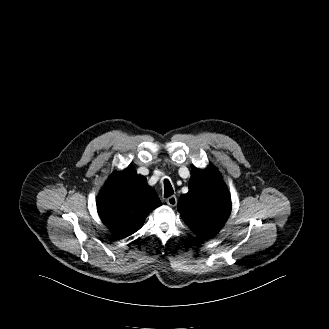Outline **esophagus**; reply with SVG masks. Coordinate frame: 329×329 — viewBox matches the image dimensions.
<instances>
[{"instance_id":"obj_1","label":"esophagus","mask_w":329,"mask_h":329,"mask_svg":"<svg viewBox=\"0 0 329 329\" xmlns=\"http://www.w3.org/2000/svg\"><path fill=\"white\" fill-rule=\"evenodd\" d=\"M166 202L169 206H176L177 205V198L176 196H170L166 199Z\"/></svg>"}]
</instances>
